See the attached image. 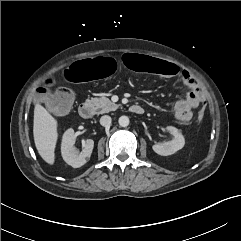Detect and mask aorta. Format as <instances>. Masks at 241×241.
<instances>
[{
	"label": "aorta",
	"mask_w": 241,
	"mask_h": 241,
	"mask_svg": "<svg viewBox=\"0 0 241 241\" xmlns=\"http://www.w3.org/2000/svg\"><path fill=\"white\" fill-rule=\"evenodd\" d=\"M118 122L121 127H127L129 125V118L127 116H121Z\"/></svg>",
	"instance_id": "obj_1"
}]
</instances>
